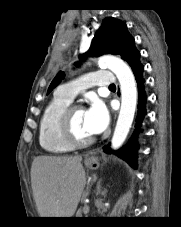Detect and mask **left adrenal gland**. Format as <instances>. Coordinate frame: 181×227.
<instances>
[{"mask_svg": "<svg viewBox=\"0 0 181 227\" xmlns=\"http://www.w3.org/2000/svg\"><path fill=\"white\" fill-rule=\"evenodd\" d=\"M98 192L100 191V181L97 183Z\"/></svg>", "mask_w": 181, "mask_h": 227, "instance_id": "obj_1", "label": "left adrenal gland"}]
</instances>
